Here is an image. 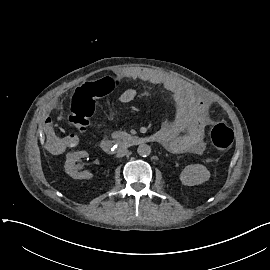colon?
Returning a JSON list of instances; mask_svg holds the SVG:
<instances>
[{
	"label": "colon",
	"instance_id": "5ec220e1",
	"mask_svg": "<svg viewBox=\"0 0 270 270\" xmlns=\"http://www.w3.org/2000/svg\"><path fill=\"white\" fill-rule=\"evenodd\" d=\"M112 91L110 85L101 83H86L77 88L70 101V123L81 133H84L94 116L98 99ZM213 145L219 150L230 148L234 141V132L223 122L213 126L210 132Z\"/></svg>",
	"mask_w": 270,
	"mask_h": 270
}]
</instances>
